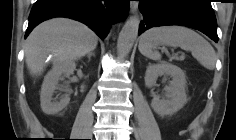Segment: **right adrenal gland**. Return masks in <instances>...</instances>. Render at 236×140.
<instances>
[{"mask_svg": "<svg viewBox=\"0 0 236 140\" xmlns=\"http://www.w3.org/2000/svg\"><path fill=\"white\" fill-rule=\"evenodd\" d=\"M91 56H94V53H89V54H88L89 61H90V59H91Z\"/></svg>", "mask_w": 236, "mask_h": 140, "instance_id": "1", "label": "right adrenal gland"}]
</instances>
